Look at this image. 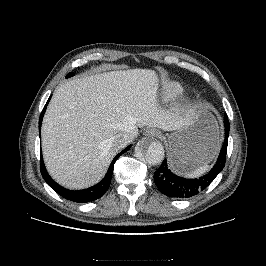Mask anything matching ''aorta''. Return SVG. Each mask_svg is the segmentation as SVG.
I'll use <instances>...</instances> for the list:
<instances>
[{
	"mask_svg": "<svg viewBox=\"0 0 266 266\" xmlns=\"http://www.w3.org/2000/svg\"><path fill=\"white\" fill-rule=\"evenodd\" d=\"M137 153L150 165H157L164 158L163 145L158 141H153L148 144L140 142L137 146Z\"/></svg>",
	"mask_w": 266,
	"mask_h": 266,
	"instance_id": "aorta-1",
	"label": "aorta"
}]
</instances>
